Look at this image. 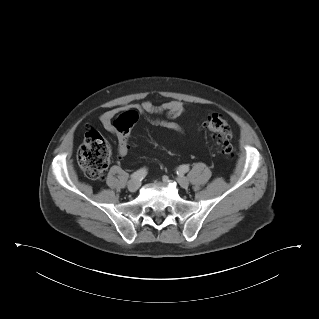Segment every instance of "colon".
<instances>
[{
  "mask_svg": "<svg viewBox=\"0 0 319 319\" xmlns=\"http://www.w3.org/2000/svg\"><path fill=\"white\" fill-rule=\"evenodd\" d=\"M137 121L138 114L133 110L121 114L115 120L114 126L123 142H128L130 131ZM203 127L221 145L222 153L228 158L231 157L232 129L229 123L221 115L211 114L204 121ZM110 153L108 141L99 132L91 130L79 147L78 163L89 179L99 181L103 179L108 167Z\"/></svg>",
  "mask_w": 319,
  "mask_h": 319,
  "instance_id": "obj_1",
  "label": "colon"
}]
</instances>
